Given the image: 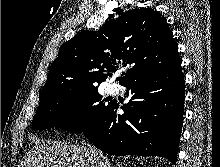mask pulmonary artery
Here are the masks:
<instances>
[{
    "label": "pulmonary artery",
    "instance_id": "e3ab8cb5",
    "mask_svg": "<svg viewBox=\"0 0 220 167\" xmlns=\"http://www.w3.org/2000/svg\"><path fill=\"white\" fill-rule=\"evenodd\" d=\"M109 91H110V92H113V90H112L111 88H109Z\"/></svg>",
    "mask_w": 220,
    "mask_h": 167
}]
</instances>
